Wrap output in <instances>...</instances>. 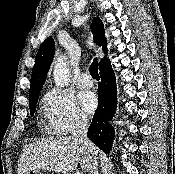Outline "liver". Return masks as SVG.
<instances>
[{
  "label": "liver",
  "instance_id": "obj_1",
  "mask_svg": "<svg viewBox=\"0 0 175 174\" xmlns=\"http://www.w3.org/2000/svg\"><path fill=\"white\" fill-rule=\"evenodd\" d=\"M78 163L84 172L90 171L91 158L85 146L70 136L49 137L23 146L17 173L26 174L32 169L68 173Z\"/></svg>",
  "mask_w": 175,
  "mask_h": 174
}]
</instances>
